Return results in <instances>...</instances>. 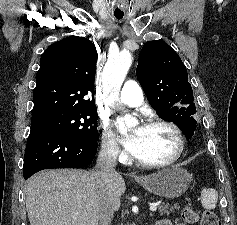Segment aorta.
<instances>
[{
	"mask_svg": "<svg viewBox=\"0 0 237 225\" xmlns=\"http://www.w3.org/2000/svg\"><path fill=\"white\" fill-rule=\"evenodd\" d=\"M131 63L132 55L129 51H122L108 58L103 70V91L109 104L112 105L118 99L121 85ZM125 122L129 127L137 124V120L131 116H126Z\"/></svg>",
	"mask_w": 237,
	"mask_h": 225,
	"instance_id": "aorta-1",
	"label": "aorta"
}]
</instances>
